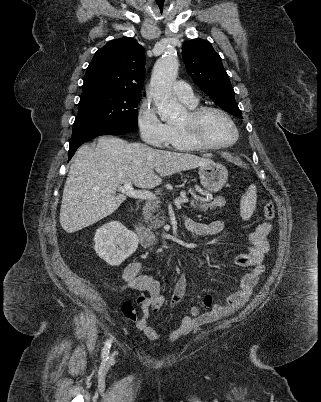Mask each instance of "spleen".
<instances>
[{
    "label": "spleen",
    "instance_id": "obj_1",
    "mask_svg": "<svg viewBox=\"0 0 321 402\" xmlns=\"http://www.w3.org/2000/svg\"><path fill=\"white\" fill-rule=\"evenodd\" d=\"M256 185L251 184L240 201V215L244 221L252 216L257 202Z\"/></svg>",
    "mask_w": 321,
    "mask_h": 402
}]
</instances>
